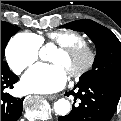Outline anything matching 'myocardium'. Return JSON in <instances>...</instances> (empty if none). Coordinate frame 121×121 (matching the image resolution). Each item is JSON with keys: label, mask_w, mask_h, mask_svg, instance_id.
<instances>
[{"label": "myocardium", "mask_w": 121, "mask_h": 121, "mask_svg": "<svg viewBox=\"0 0 121 121\" xmlns=\"http://www.w3.org/2000/svg\"><path fill=\"white\" fill-rule=\"evenodd\" d=\"M58 51L65 54L68 58L75 60L76 66L68 73V76L72 79H80L86 75L96 63V52L86 44L60 46Z\"/></svg>", "instance_id": "f54148a6"}]
</instances>
